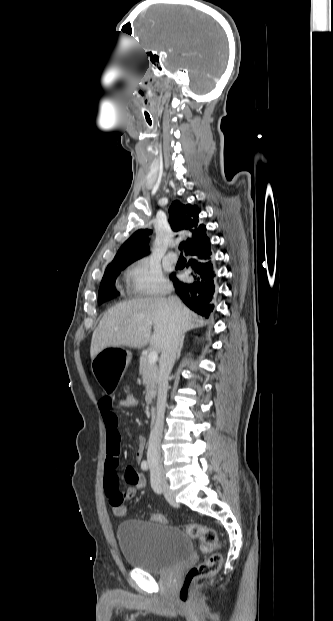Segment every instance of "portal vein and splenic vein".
I'll use <instances>...</instances> for the list:
<instances>
[{
	"mask_svg": "<svg viewBox=\"0 0 333 621\" xmlns=\"http://www.w3.org/2000/svg\"><path fill=\"white\" fill-rule=\"evenodd\" d=\"M139 330L141 331V328H139ZM157 359H158V354H157V352H156L155 350H152V351L149 353V355H148V361H149V363H151V364H155V363H156V361H157Z\"/></svg>",
	"mask_w": 333,
	"mask_h": 621,
	"instance_id": "portal-vein-and-splenic-vein-1",
	"label": "portal vein and splenic vein"
}]
</instances>
